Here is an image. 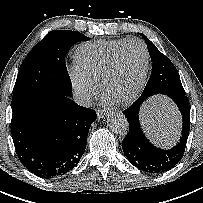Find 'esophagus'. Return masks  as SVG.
<instances>
[{"label": "esophagus", "mask_w": 203, "mask_h": 203, "mask_svg": "<svg viewBox=\"0 0 203 203\" xmlns=\"http://www.w3.org/2000/svg\"><path fill=\"white\" fill-rule=\"evenodd\" d=\"M107 114H108V112L105 110H98L97 111L98 118H105L107 116Z\"/></svg>", "instance_id": "obj_1"}]
</instances>
